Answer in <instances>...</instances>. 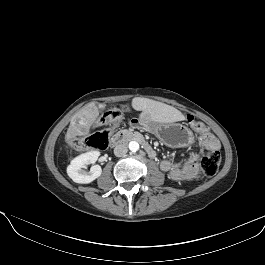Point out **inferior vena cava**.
Instances as JSON below:
<instances>
[{
    "label": "inferior vena cava",
    "mask_w": 265,
    "mask_h": 265,
    "mask_svg": "<svg viewBox=\"0 0 265 265\" xmlns=\"http://www.w3.org/2000/svg\"><path fill=\"white\" fill-rule=\"evenodd\" d=\"M128 151V148L124 144H119L114 148V154L117 157L124 156Z\"/></svg>",
    "instance_id": "602c4592"
}]
</instances>
